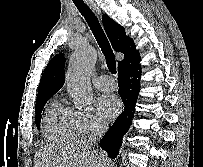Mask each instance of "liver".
Wrapping results in <instances>:
<instances>
[{
  "label": "liver",
  "mask_w": 203,
  "mask_h": 167,
  "mask_svg": "<svg viewBox=\"0 0 203 167\" xmlns=\"http://www.w3.org/2000/svg\"><path fill=\"white\" fill-rule=\"evenodd\" d=\"M35 167H104L98 152L85 141L67 142L42 148Z\"/></svg>",
  "instance_id": "liver-1"
}]
</instances>
